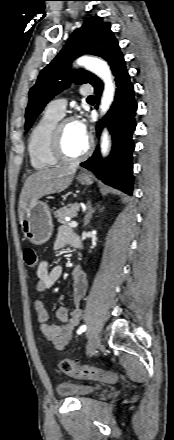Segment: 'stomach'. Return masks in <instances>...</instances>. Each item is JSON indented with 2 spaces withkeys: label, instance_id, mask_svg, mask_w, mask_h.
<instances>
[{
  "label": "stomach",
  "instance_id": "1",
  "mask_svg": "<svg viewBox=\"0 0 174 440\" xmlns=\"http://www.w3.org/2000/svg\"><path fill=\"white\" fill-rule=\"evenodd\" d=\"M77 180L83 185H91L93 180L89 175H79ZM24 236L35 245H42L52 235L53 223L50 209L46 202L37 201L25 213L22 223Z\"/></svg>",
  "mask_w": 174,
  "mask_h": 440
}]
</instances>
